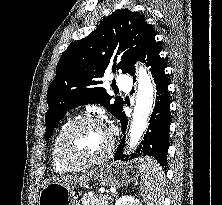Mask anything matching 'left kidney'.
<instances>
[{
    "mask_svg": "<svg viewBox=\"0 0 222 205\" xmlns=\"http://www.w3.org/2000/svg\"><path fill=\"white\" fill-rule=\"evenodd\" d=\"M115 205H142V203L132 196H122L116 201Z\"/></svg>",
    "mask_w": 222,
    "mask_h": 205,
    "instance_id": "left-kidney-1",
    "label": "left kidney"
}]
</instances>
